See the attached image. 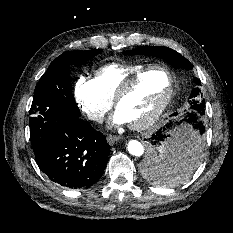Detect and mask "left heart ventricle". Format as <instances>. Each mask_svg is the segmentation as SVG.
Returning a JSON list of instances; mask_svg holds the SVG:
<instances>
[{
	"instance_id": "obj_1",
	"label": "left heart ventricle",
	"mask_w": 233,
	"mask_h": 233,
	"mask_svg": "<svg viewBox=\"0 0 233 233\" xmlns=\"http://www.w3.org/2000/svg\"><path fill=\"white\" fill-rule=\"evenodd\" d=\"M168 87L165 72L155 70L145 75L119 105L118 111L127 122H138L149 115Z\"/></svg>"
}]
</instances>
